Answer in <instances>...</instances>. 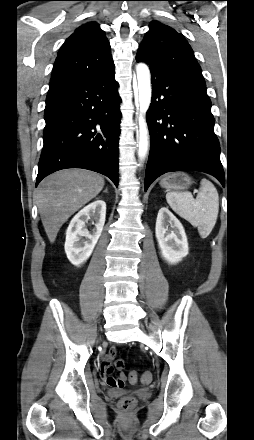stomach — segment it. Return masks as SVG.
<instances>
[{
	"label": "stomach",
	"mask_w": 254,
	"mask_h": 440,
	"mask_svg": "<svg viewBox=\"0 0 254 440\" xmlns=\"http://www.w3.org/2000/svg\"><path fill=\"white\" fill-rule=\"evenodd\" d=\"M192 184L191 177L184 173H172L166 175L160 182L161 187L168 191H181L187 189Z\"/></svg>",
	"instance_id": "1"
}]
</instances>
